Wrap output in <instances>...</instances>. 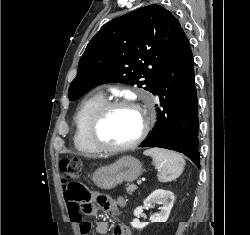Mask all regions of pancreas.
Instances as JSON below:
<instances>
[{"label":"pancreas","instance_id":"pancreas-1","mask_svg":"<svg viewBox=\"0 0 250 235\" xmlns=\"http://www.w3.org/2000/svg\"><path fill=\"white\" fill-rule=\"evenodd\" d=\"M137 189V187L134 184L127 185L126 191L128 194L132 195L133 192Z\"/></svg>","mask_w":250,"mask_h":235}]
</instances>
